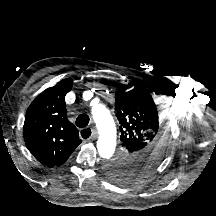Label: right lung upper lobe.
I'll return each instance as SVG.
<instances>
[{
	"label": "right lung upper lobe",
	"instance_id": "obj_1",
	"mask_svg": "<svg viewBox=\"0 0 216 216\" xmlns=\"http://www.w3.org/2000/svg\"><path fill=\"white\" fill-rule=\"evenodd\" d=\"M73 81L63 79L43 91L27 109L23 136L29 151L43 165H62L82 142L77 128L68 120L65 95Z\"/></svg>",
	"mask_w": 216,
	"mask_h": 216
}]
</instances>
